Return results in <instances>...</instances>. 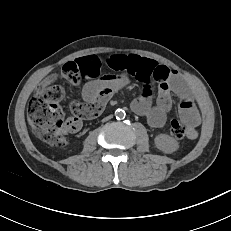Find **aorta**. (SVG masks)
<instances>
[{"instance_id": "aorta-1", "label": "aorta", "mask_w": 231, "mask_h": 231, "mask_svg": "<svg viewBox=\"0 0 231 231\" xmlns=\"http://www.w3.org/2000/svg\"><path fill=\"white\" fill-rule=\"evenodd\" d=\"M115 116L117 119H121L125 116V111L122 109H117L115 112Z\"/></svg>"}]
</instances>
